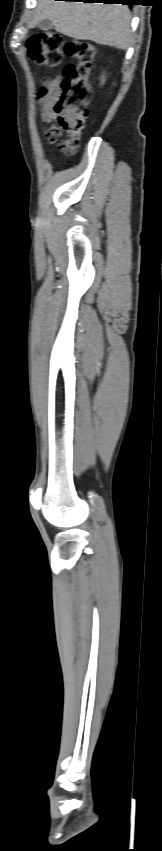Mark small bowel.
Here are the masks:
<instances>
[{"mask_svg": "<svg viewBox=\"0 0 162 851\" xmlns=\"http://www.w3.org/2000/svg\"><path fill=\"white\" fill-rule=\"evenodd\" d=\"M62 80L61 76L44 80L37 91V99L40 105L42 120L45 123L52 124L50 129H44L47 141L51 144L58 143L59 151L65 155H72L76 150V145L69 138L60 139L62 134L55 126L56 115L54 105L61 93Z\"/></svg>", "mask_w": 162, "mask_h": 851, "instance_id": "small-bowel-1", "label": "small bowel"}]
</instances>
